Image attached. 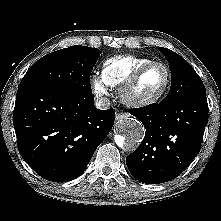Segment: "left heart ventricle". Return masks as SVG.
I'll return each mask as SVG.
<instances>
[{
  "mask_svg": "<svg viewBox=\"0 0 221 221\" xmlns=\"http://www.w3.org/2000/svg\"><path fill=\"white\" fill-rule=\"evenodd\" d=\"M166 73L163 67L150 68L139 80L133 94L137 97H148L158 92L164 85Z\"/></svg>",
  "mask_w": 221,
  "mask_h": 221,
  "instance_id": "left-heart-ventricle-1",
  "label": "left heart ventricle"
}]
</instances>
